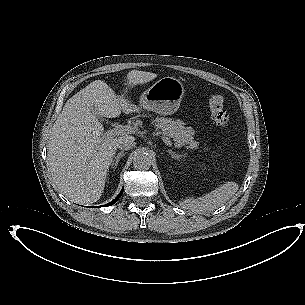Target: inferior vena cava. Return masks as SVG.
I'll return each mask as SVG.
<instances>
[{"mask_svg": "<svg viewBox=\"0 0 305 305\" xmlns=\"http://www.w3.org/2000/svg\"><path fill=\"white\" fill-rule=\"evenodd\" d=\"M136 146V142L133 136L126 135L118 139V148L121 150H131Z\"/></svg>", "mask_w": 305, "mask_h": 305, "instance_id": "602c4592", "label": "inferior vena cava"}]
</instances>
